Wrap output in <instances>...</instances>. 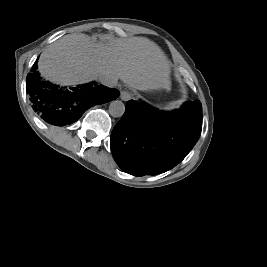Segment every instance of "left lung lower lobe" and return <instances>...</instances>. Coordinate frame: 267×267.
<instances>
[{"label":"left lung lower lobe","mask_w":267,"mask_h":267,"mask_svg":"<svg viewBox=\"0 0 267 267\" xmlns=\"http://www.w3.org/2000/svg\"><path fill=\"white\" fill-rule=\"evenodd\" d=\"M201 127L199 101H187L181 109L166 113L129 100L110 137L114 160L134 176L166 172L186 157Z\"/></svg>","instance_id":"1"}]
</instances>
